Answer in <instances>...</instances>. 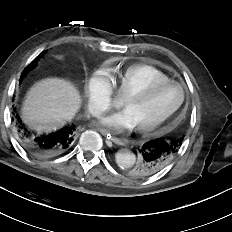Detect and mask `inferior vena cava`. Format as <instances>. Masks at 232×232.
<instances>
[{
	"label": "inferior vena cava",
	"mask_w": 232,
	"mask_h": 232,
	"mask_svg": "<svg viewBox=\"0 0 232 232\" xmlns=\"http://www.w3.org/2000/svg\"><path fill=\"white\" fill-rule=\"evenodd\" d=\"M90 112L94 115V116H99V114L101 113L100 109L98 107H92L90 109Z\"/></svg>",
	"instance_id": "602c4592"
}]
</instances>
